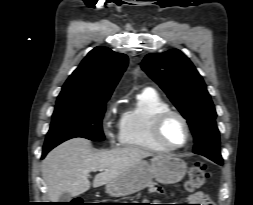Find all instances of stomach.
<instances>
[{"label":"stomach","mask_w":253,"mask_h":205,"mask_svg":"<svg viewBox=\"0 0 253 205\" xmlns=\"http://www.w3.org/2000/svg\"><path fill=\"white\" fill-rule=\"evenodd\" d=\"M187 164L171 155L154 156L150 162L140 160L128 171L106 185V193L112 197H123L146 188L152 179L162 184H174L183 179Z\"/></svg>","instance_id":"stomach-1"}]
</instances>
